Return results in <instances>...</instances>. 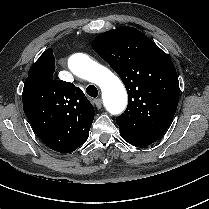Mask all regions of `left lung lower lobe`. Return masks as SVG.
Returning a JSON list of instances; mask_svg holds the SVG:
<instances>
[{
	"instance_id": "0a47b994",
	"label": "left lung lower lobe",
	"mask_w": 209,
	"mask_h": 209,
	"mask_svg": "<svg viewBox=\"0 0 209 209\" xmlns=\"http://www.w3.org/2000/svg\"><path fill=\"white\" fill-rule=\"evenodd\" d=\"M122 137H123L129 144H131V145H133V146H136V147H145V146H146L145 144L140 143V142H137V141H135V140H133V139H131V138H128V137H126V136H124V135H122Z\"/></svg>"
}]
</instances>
